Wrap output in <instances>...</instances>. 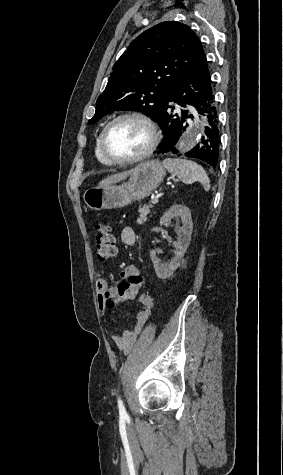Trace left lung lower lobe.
Segmentation results:
<instances>
[{
    "instance_id": "1",
    "label": "left lung lower lobe",
    "mask_w": 283,
    "mask_h": 475,
    "mask_svg": "<svg viewBox=\"0 0 283 475\" xmlns=\"http://www.w3.org/2000/svg\"><path fill=\"white\" fill-rule=\"evenodd\" d=\"M171 101L184 108L190 105L199 114L207 116L210 126L206 127L205 136L186 155L203 160L215 167L219 157V128L207 61L183 75L168 93L166 104L158 117L164 139L156 151L157 154L169 151L176 153L175 146L188 127L186 119L193 118L190 111L171 106Z\"/></svg>"
}]
</instances>
